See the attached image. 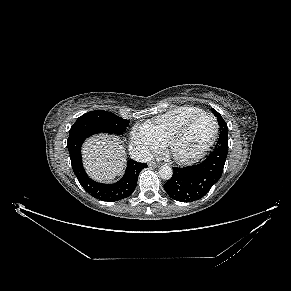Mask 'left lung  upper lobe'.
<instances>
[{"instance_id":"1","label":"left lung upper lobe","mask_w":291,"mask_h":291,"mask_svg":"<svg viewBox=\"0 0 291 291\" xmlns=\"http://www.w3.org/2000/svg\"><path fill=\"white\" fill-rule=\"evenodd\" d=\"M212 112L218 118V124L220 126V135H224V137L228 139V127L226 122L223 120L221 115L215 109H212Z\"/></svg>"}]
</instances>
